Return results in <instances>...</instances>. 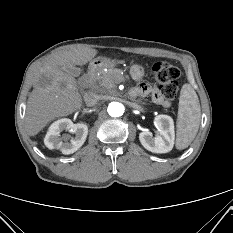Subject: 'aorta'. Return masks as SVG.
I'll use <instances>...</instances> for the list:
<instances>
[{
  "mask_svg": "<svg viewBox=\"0 0 233 233\" xmlns=\"http://www.w3.org/2000/svg\"><path fill=\"white\" fill-rule=\"evenodd\" d=\"M107 111L111 117H119L124 113V106L120 102L112 101L108 104Z\"/></svg>",
  "mask_w": 233,
  "mask_h": 233,
  "instance_id": "762f6f07",
  "label": "aorta"
}]
</instances>
